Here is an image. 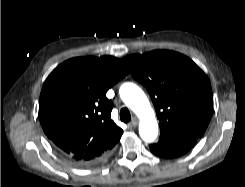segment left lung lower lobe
Returning <instances> with one entry per match:
<instances>
[{
    "instance_id": "obj_1",
    "label": "left lung lower lobe",
    "mask_w": 245,
    "mask_h": 187,
    "mask_svg": "<svg viewBox=\"0 0 245 187\" xmlns=\"http://www.w3.org/2000/svg\"><path fill=\"white\" fill-rule=\"evenodd\" d=\"M197 139L194 136L160 138L158 143L150 145V150L159 157L176 158L188 152Z\"/></svg>"
}]
</instances>
